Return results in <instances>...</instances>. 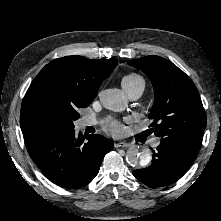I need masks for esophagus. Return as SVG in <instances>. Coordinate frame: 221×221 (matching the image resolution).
Segmentation results:
<instances>
[{"label":"esophagus","mask_w":221,"mask_h":221,"mask_svg":"<svg viewBox=\"0 0 221 221\" xmlns=\"http://www.w3.org/2000/svg\"><path fill=\"white\" fill-rule=\"evenodd\" d=\"M130 146H131V144L127 143V142H118V143L115 144L116 148H119V147H126V148H128Z\"/></svg>","instance_id":"obj_1"}]
</instances>
